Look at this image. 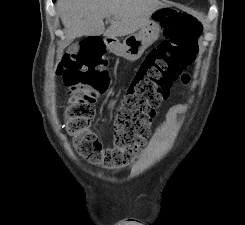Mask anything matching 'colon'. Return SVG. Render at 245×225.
<instances>
[{"label": "colon", "mask_w": 245, "mask_h": 225, "mask_svg": "<svg viewBox=\"0 0 245 225\" xmlns=\"http://www.w3.org/2000/svg\"><path fill=\"white\" fill-rule=\"evenodd\" d=\"M164 40L151 50L135 70L113 123L115 145L103 148L89 130L95 103L108 89L109 57L102 40L80 38L64 54L55 75L69 89L62 114L65 130L73 137L78 155L105 168L127 166L145 144L156 109L169 98L173 85L186 82V70L198 52L201 25L174 8L160 13Z\"/></svg>", "instance_id": "1"}]
</instances>
